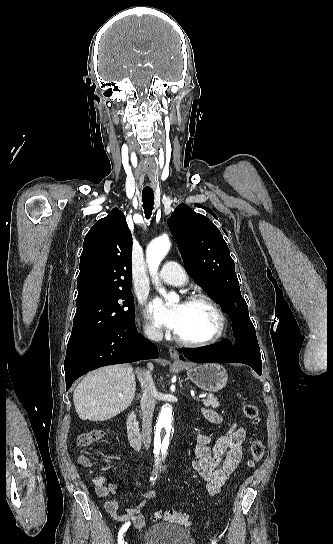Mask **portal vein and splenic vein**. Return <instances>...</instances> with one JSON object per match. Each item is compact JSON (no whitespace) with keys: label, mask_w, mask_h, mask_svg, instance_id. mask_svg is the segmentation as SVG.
I'll return each instance as SVG.
<instances>
[{"label":"portal vein and splenic vein","mask_w":333,"mask_h":544,"mask_svg":"<svg viewBox=\"0 0 333 544\" xmlns=\"http://www.w3.org/2000/svg\"><path fill=\"white\" fill-rule=\"evenodd\" d=\"M122 396H123V395H121V394L119 395V397H122ZM205 397H206V394H200V395H199V398H205Z\"/></svg>","instance_id":"1"}]
</instances>
